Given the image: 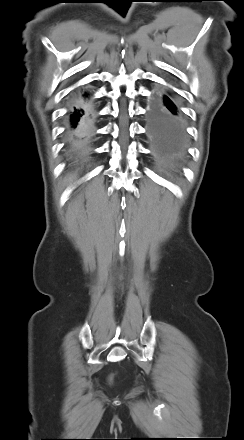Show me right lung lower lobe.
Returning <instances> with one entry per match:
<instances>
[{
  "label": "right lung lower lobe",
  "mask_w": 244,
  "mask_h": 440,
  "mask_svg": "<svg viewBox=\"0 0 244 440\" xmlns=\"http://www.w3.org/2000/svg\"><path fill=\"white\" fill-rule=\"evenodd\" d=\"M94 120L95 117L87 103L76 97L69 107L65 129V140L69 148H80L91 140Z\"/></svg>",
  "instance_id": "1"
}]
</instances>
